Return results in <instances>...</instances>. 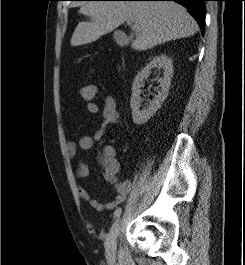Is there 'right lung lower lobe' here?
<instances>
[{"instance_id": "1", "label": "right lung lower lobe", "mask_w": 245, "mask_h": 265, "mask_svg": "<svg viewBox=\"0 0 245 265\" xmlns=\"http://www.w3.org/2000/svg\"><path fill=\"white\" fill-rule=\"evenodd\" d=\"M123 1H175L189 10L190 14L198 22L202 34H204V27H205L204 2L206 0H123Z\"/></svg>"}]
</instances>
